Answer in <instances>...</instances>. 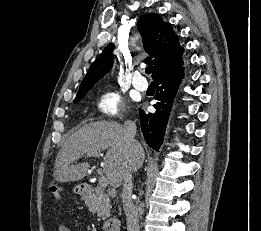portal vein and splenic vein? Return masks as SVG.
Wrapping results in <instances>:
<instances>
[{
	"instance_id": "obj_1",
	"label": "portal vein and splenic vein",
	"mask_w": 261,
	"mask_h": 231,
	"mask_svg": "<svg viewBox=\"0 0 261 231\" xmlns=\"http://www.w3.org/2000/svg\"><path fill=\"white\" fill-rule=\"evenodd\" d=\"M100 155H102L101 151H95V152H92V153H88V156L99 157ZM99 185H100V187H103V188L107 187L108 180H107V178L105 176L100 175V177H99Z\"/></svg>"
}]
</instances>
